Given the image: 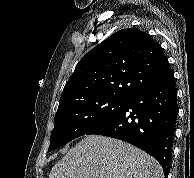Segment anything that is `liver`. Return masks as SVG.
I'll use <instances>...</instances> for the list:
<instances>
[{
  "mask_svg": "<svg viewBox=\"0 0 194 178\" xmlns=\"http://www.w3.org/2000/svg\"><path fill=\"white\" fill-rule=\"evenodd\" d=\"M49 178H163V170L133 145L87 135L52 168Z\"/></svg>",
  "mask_w": 194,
  "mask_h": 178,
  "instance_id": "obj_1",
  "label": "liver"
}]
</instances>
